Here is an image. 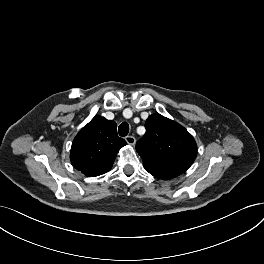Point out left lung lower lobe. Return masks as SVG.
<instances>
[{
    "label": "left lung lower lobe",
    "mask_w": 264,
    "mask_h": 264,
    "mask_svg": "<svg viewBox=\"0 0 264 264\" xmlns=\"http://www.w3.org/2000/svg\"><path fill=\"white\" fill-rule=\"evenodd\" d=\"M144 167L151 175L159 179H164V180L172 179L182 174V172L177 171V170L160 168V167H156V166H152L148 164H144Z\"/></svg>",
    "instance_id": "1"
}]
</instances>
